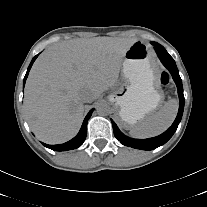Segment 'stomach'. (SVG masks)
I'll return each mask as SVG.
<instances>
[{"instance_id":"stomach-1","label":"stomach","mask_w":207,"mask_h":207,"mask_svg":"<svg viewBox=\"0 0 207 207\" xmlns=\"http://www.w3.org/2000/svg\"><path fill=\"white\" fill-rule=\"evenodd\" d=\"M163 98L152 52L145 43L136 41L126 51L121 79L109 95L116 121L130 129L155 111Z\"/></svg>"}]
</instances>
